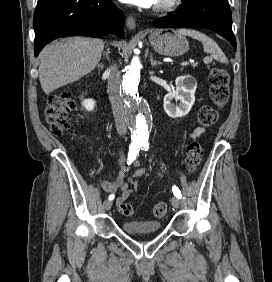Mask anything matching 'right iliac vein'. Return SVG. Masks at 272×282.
Instances as JSON below:
<instances>
[{
    "label": "right iliac vein",
    "mask_w": 272,
    "mask_h": 282,
    "mask_svg": "<svg viewBox=\"0 0 272 282\" xmlns=\"http://www.w3.org/2000/svg\"><path fill=\"white\" fill-rule=\"evenodd\" d=\"M104 208H105V210H110V208H111V206H112V201L111 200H105L104 201Z\"/></svg>",
    "instance_id": "right-iliac-vein-1"
}]
</instances>
